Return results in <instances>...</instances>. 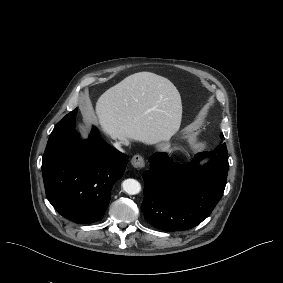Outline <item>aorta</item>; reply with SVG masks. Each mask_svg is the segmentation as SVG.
<instances>
[{"label":"aorta","mask_w":283,"mask_h":283,"mask_svg":"<svg viewBox=\"0 0 283 283\" xmlns=\"http://www.w3.org/2000/svg\"><path fill=\"white\" fill-rule=\"evenodd\" d=\"M123 190L129 195L138 194L141 190L140 183L135 179H126L122 183Z\"/></svg>","instance_id":"obj_1"}]
</instances>
